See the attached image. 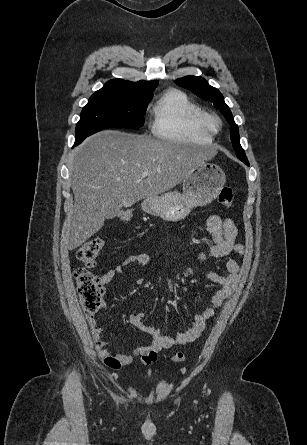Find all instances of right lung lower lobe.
Returning a JSON list of instances; mask_svg holds the SVG:
<instances>
[{
    "instance_id": "98d812e1",
    "label": "right lung lower lobe",
    "mask_w": 307,
    "mask_h": 445,
    "mask_svg": "<svg viewBox=\"0 0 307 445\" xmlns=\"http://www.w3.org/2000/svg\"><path fill=\"white\" fill-rule=\"evenodd\" d=\"M82 141H83V140L76 139V140H75V144H74V146H77V145L80 144Z\"/></svg>"
}]
</instances>
